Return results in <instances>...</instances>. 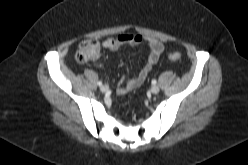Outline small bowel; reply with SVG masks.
I'll return each mask as SVG.
<instances>
[{"label": "small bowel", "mask_w": 248, "mask_h": 165, "mask_svg": "<svg viewBox=\"0 0 248 165\" xmlns=\"http://www.w3.org/2000/svg\"><path fill=\"white\" fill-rule=\"evenodd\" d=\"M145 44L149 49V56L145 66L140 72L131 79H121L117 92L125 94L143 84L149 75L152 67L158 62L162 52L163 45L160 41L152 37H144L139 34L125 33L117 37H110L102 42V47L110 50H118L123 45H140Z\"/></svg>", "instance_id": "1"}]
</instances>
